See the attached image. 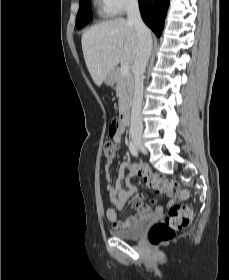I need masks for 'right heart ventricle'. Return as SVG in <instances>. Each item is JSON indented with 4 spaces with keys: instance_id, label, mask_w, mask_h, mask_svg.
Returning <instances> with one entry per match:
<instances>
[{
    "instance_id": "1",
    "label": "right heart ventricle",
    "mask_w": 229,
    "mask_h": 280,
    "mask_svg": "<svg viewBox=\"0 0 229 280\" xmlns=\"http://www.w3.org/2000/svg\"><path fill=\"white\" fill-rule=\"evenodd\" d=\"M102 14H103V16H105V17L109 16L108 14H106V13H104V12H102Z\"/></svg>"
}]
</instances>
